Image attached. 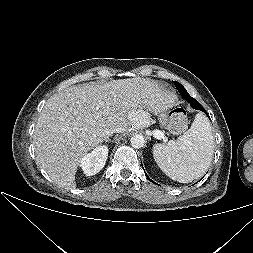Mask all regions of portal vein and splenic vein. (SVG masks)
Masks as SVG:
<instances>
[{"label": "portal vein and splenic vein", "mask_w": 253, "mask_h": 253, "mask_svg": "<svg viewBox=\"0 0 253 253\" xmlns=\"http://www.w3.org/2000/svg\"><path fill=\"white\" fill-rule=\"evenodd\" d=\"M154 136L157 138V139H164V134L163 132L159 131V130H155L154 131Z\"/></svg>", "instance_id": "1"}]
</instances>
